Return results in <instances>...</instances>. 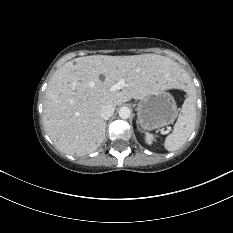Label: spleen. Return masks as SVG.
Segmentation results:
<instances>
[{
	"instance_id": "spleen-1",
	"label": "spleen",
	"mask_w": 233,
	"mask_h": 233,
	"mask_svg": "<svg viewBox=\"0 0 233 233\" xmlns=\"http://www.w3.org/2000/svg\"><path fill=\"white\" fill-rule=\"evenodd\" d=\"M196 107L195 97L192 93L185 99L174 129L164 142L168 151H175L182 147L188 140L195 128Z\"/></svg>"
}]
</instances>
